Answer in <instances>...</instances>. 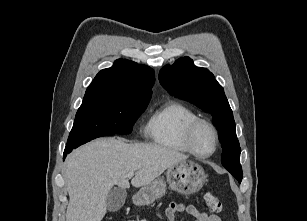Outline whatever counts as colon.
<instances>
[{"instance_id":"1","label":"colon","mask_w":307,"mask_h":221,"mask_svg":"<svg viewBox=\"0 0 307 221\" xmlns=\"http://www.w3.org/2000/svg\"><path fill=\"white\" fill-rule=\"evenodd\" d=\"M205 204L207 206V208L212 211V212H221L222 210V203L219 200V198L217 196H215L213 193L211 192H207L205 194Z\"/></svg>"}]
</instances>
